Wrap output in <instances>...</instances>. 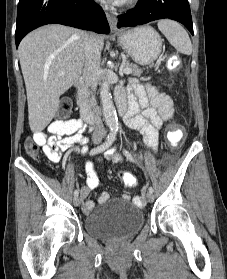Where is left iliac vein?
Wrapping results in <instances>:
<instances>
[{"label": "left iliac vein", "instance_id": "obj_1", "mask_svg": "<svg viewBox=\"0 0 227 279\" xmlns=\"http://www.w3.org/2000/svg\"><path fill=\"white\" fill-rule=\"evenodd\" d=\"M146 197H147V201H148V202H153V201H154V195H153V193L148 192L147 195H146Z\"/></svg>", "mask_w": 227, "mask_h": 279}]
</instances>
